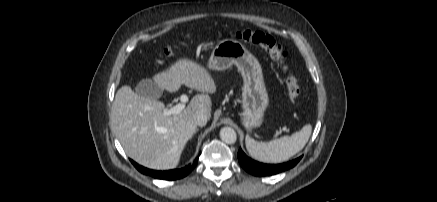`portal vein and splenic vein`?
Listing matches in <instances>:
<instances>
[{"mask_svg": "<svg viewBox=\"0 0 437 202\" xmlns=\"http://www.w3.org/2000/svg\"><path fill=\"white\" fill-rule=\"evenodd\" d=\"M180 101L181 103H178L177 105L171 107L170 109H167L165 111L166 115H177L179 114L184 108H185V103L188 101V96L183 94L180 96Z\"/></svg>", "mask_w": 437, "mask_h": 202, "instance_id": "obj_1", "label": "portal vein and splenic vein"}]
</instances>
